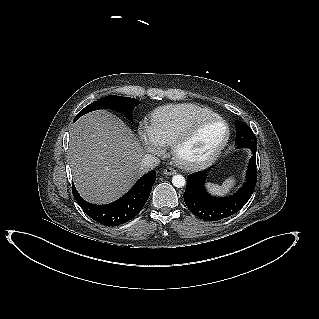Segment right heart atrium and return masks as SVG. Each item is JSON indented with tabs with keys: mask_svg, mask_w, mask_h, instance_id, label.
Returning <instances> with one entry per match:
<instances>
[{
	"mask_svg": "<svg viewBox=\"0 0 319 319\" xmlns=\"http://www.w3.org/2000/svg\"><path fill=\"white\" fill-rule=\"evenodd\" d=\"M138 136L143 148L155 155H162L166 144L162 142L153 132L150 125L142 123L138 127Z\"/></svg>",
	"mask_w": 319,
	"mask_h": 319,
	"instance_id": "1",
	"label": "right heart atrium"
}]
</instances>
